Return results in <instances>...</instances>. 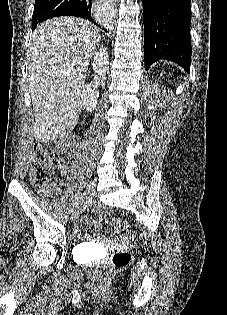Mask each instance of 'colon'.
Listing matches in <instances>:
<instances>
[{
    "label": "colon",
    "instance_id": "colon-1",
    "mask_svg": "<svg viewBox=\"0 0 227 315\" xmlns=\"http://www.w3.org/2000/svg\"><path fill=\"white\" fill-rule=\"evenodd\" d=\"M77 144L78 139L74 135L53 139L48 143H36L33 148L31 167V181L34 187L39 190L48 189L52 172L59 164L70 160ZM111 229L115 234L122 235L126 239L134 238L133 231L123 219H112ZM131 259L132 254L129 250L116 252L111 260L98 267L99 277L106 278L116 268L127 266Z\"/></svg>",
    "mask_w": 227,
    "mask_h": 315
}]
</instances>
